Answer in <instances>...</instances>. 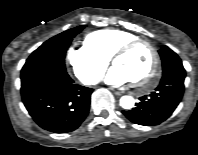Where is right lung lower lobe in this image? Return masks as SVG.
I'll use <instances>...</instances> for the list:
<instances>
[{"instance_id":"right-lung-lower-lobe-1","label":"right lung lower lobe","mask_w":198,"mask_h":155,"mask_svg":"<svg viewBox=\"0 0 198 155\" xmlns=\"http://www.w3.org/2000/svg\"><path fill=\"white\" fill-rule=\"evenodd\" d=\"M92 91L74 84L57 64L29 62L21 70L23 103L34 121L51 132L77 129L88 115Z\"/></svg>"}]
</instances>
